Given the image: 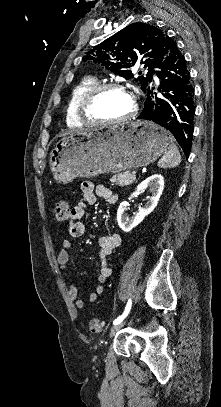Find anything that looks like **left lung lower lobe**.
<instances>
[{
	"label": "left lung lower lobe",
	"mask_w": 221,
	"mask_h": 407,
	"mask_svg": "<svg viewBox=\"0 0 221 407\" xmlns=\"http://www.w3.org/2000/svg\"><path fill=\"white\" fill-rule=\"evenodd\" d=\"M155 74L161 80L158 90H162L163 98H158L154 88L149 87L137 119L153 121L168 129L188 158L194 131V87L185 57L174 42Z\"/></svg>",
	"instance_id": "1"
}]
</instances>
